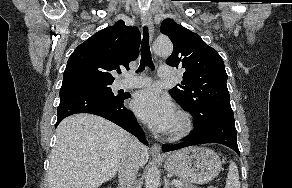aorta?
Segmentation results:
<instances>
[{"label":"aorta","instance_id":"obj_1","mask_svg":"<svg viewBox=\"0 0 292 188\" xmlns=\"http://www.w3.org/2000/svg\"><path fill=\"white\" fill-rule=\"evenodd\" d=\"M153 50L157 55L169 56L173 51L172 42L165 38H158L153 43ZM160 173L156 166H151L146 174L145 186L146 188H158Z\"/></svg>","mask_w":292,"mask_h":188}]
</instances>
